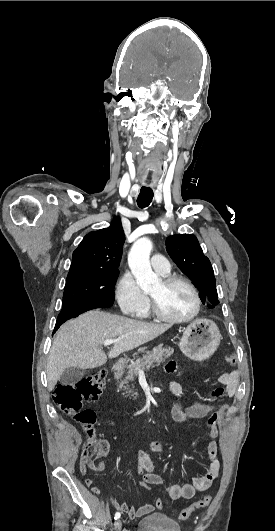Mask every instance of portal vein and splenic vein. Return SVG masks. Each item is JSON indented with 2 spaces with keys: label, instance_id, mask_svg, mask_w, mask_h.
I'll return each mask as SVG.
<instances>
[{
  "label": "portal vein and splenic vein",
  "instance_id": "1",
  "mask_svg": "<svg viewBox=\"0 0 275 531\" xmlns=\"http://www.w3.org/2000/svg\"><path fill=\"white\" fill-rule=\"evenodd\" d=\"M117 341H120V339H108V341H104L103 345L104 347H109V345H112V343H117Z\"/></svg>",
  "mask_w": 275,
  "mask_h": 531
}]
</instances>
